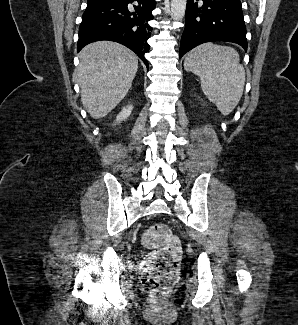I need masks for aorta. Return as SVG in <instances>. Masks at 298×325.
I'll return each instance as SVG.
<instances>
[{
    "label": "aorta",
    "mask_w": 298,
    "mask_h": 325,
    "mask_svg": "<svg viewBox=\"0 0 298 325\" xmlns=\"http://www.w3.org/2000/svg\"><path fill=\"white\" fill-rule=\"evenodd\" d=\"M187 0H171L172 20H182L185 16Z\"/></svg>",
    "instance_id": "obj_1"
}]
</instances>
